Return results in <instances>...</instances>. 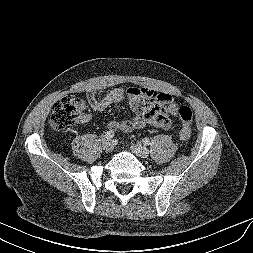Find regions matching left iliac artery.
I'll return each mask as SVG.
<instances>
[{
	"label": "left iliac artery",
	"mask_w": 253,
	"mask_h": 253,
	"mask_svg": "<svg viewBox=\"0 0 253 253\" xmlns=\"http://www.w3.org/2000/svg\"><path fill=\"white\" fill-rule=\"evenodd\" d=\"M142 142H143V144H144L145 146H149V145H150V140H149L148 138H144V139L142 140Z\"/></svg>",
	"instance_id": "1"
}]
</instances>
